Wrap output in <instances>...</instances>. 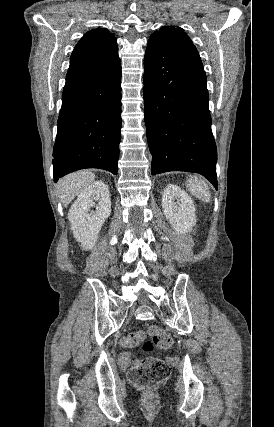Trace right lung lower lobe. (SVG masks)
<instances>
[{"instance_id":"98d812e1","label":"right lung lower lobe","mask_w":274,"mask_h":427,"mask_svg":"<svg viewBox=\"0 0 274 427\" xmlns=\"http://www.w3.org/2000/svg\"><path fill=\"white\" fill-rule=\"evenodd\" d=\"M120 64L65 84L53 150L54 182L83 168L117 174L122 122Z\"/></svg>"}]
</instances>
